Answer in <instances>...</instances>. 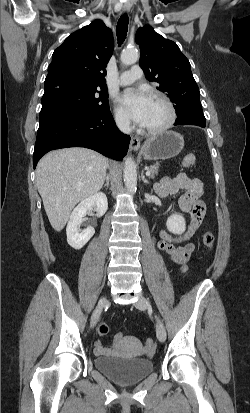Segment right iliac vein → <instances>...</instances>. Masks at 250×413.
I'll return each instance as SVG.
<instances>
[{
  "instance_id": "right-iliac-vein-1",
  "label": "right iliac vein",
  "mask_w": 250,
  "mask_h": 413,
  "mask_svg": "<svg viewBox=\"0 0 250 413\" xmlns=\"http://www.w3.org/2000/svg\"><path fill=\"white\" fill-rule=\"evenodd\" d=\"M106 303H107L106 298H101L100 299L95 311L93 312L92 318H91V327H94L95 324L97 323V321H98V319L101 315V312H102L104 306L106 305Z\"/></svg>"
}]
</instances>
